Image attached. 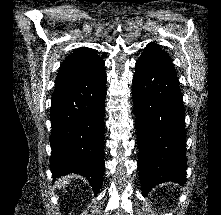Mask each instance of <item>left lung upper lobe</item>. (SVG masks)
Wrapping results in <instances>:
<instances>
[{
  "label": "left lung upper lobe",
  "instance_id": "obj_1",
  "mask_svg": "<svg viewBox=\"0 0 221 215\" xmlns=\"http://www.w3.org/2000/svg\"><path fill=\"white\" fill-rule=\"evenodd\" d=\"M139 59L173 68L169 55L155 43L148 44Z\"/></svg>",
  "mask_w": 221,
  "mask_h": 215
}]
</instances>
